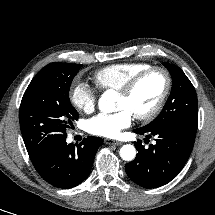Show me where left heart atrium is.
<instances>
[{"mask_svg":"<svg viewBox=\"0 0 215 215\" xmlns=\"http://www.w3.org/2000/svg\"><path fill=\"white\" fill-rule=\"evenodd\" d=\"M133 114L128 109H120L115 113H101L92 117L87 124L88 131L96 136L116 138L121 131L129 127Z\"/></svg>","mask_w":215,"mask_h":215,"instance_id":"obj_1","label":"left heart atrium"}]
</instances>
